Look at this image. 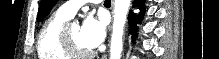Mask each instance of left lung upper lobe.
Segmentation results:
<instances>
[{
    "label": "left lung upper lobe",
    "mask_w": 219,
    "mask_h": 59,
    "mask_svg": "<svg viewBox=\"0 0 219 59\" xmlns=\"http://www.w3.org/2000/svg\"><path fill=\"white\" fill-rule=\"evenodd\" d=\"M58 0H42L38 13V21H41L53 8Z\"/></svg>",
    "instance_id": "5c2ea615"
}]
</instances>
